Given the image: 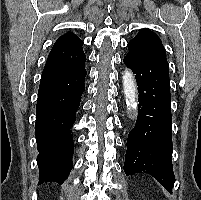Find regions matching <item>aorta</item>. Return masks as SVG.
I'll use <instances>...</instances> for the list:
<instances>
[{"label": "aorta", "mask_w": 201, "mask_h": 200, "mask_svg": "<svg viewBox=\"0 0 201 200\" xmlns=\"http://www.w3.org/2000/svg\"><path fill=\"white\" fill-rule=\"evenodd\" d=\"M122 82L127 107L130 111L135 112L137 109V86L130 69L124 71Z\"/></svg>", "instance_id": "1"}]
</instances>
